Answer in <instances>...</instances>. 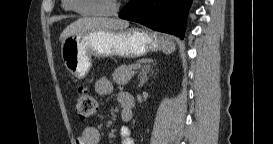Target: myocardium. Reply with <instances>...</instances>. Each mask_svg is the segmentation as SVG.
Masks as SVG:
<instances>
[{
	"mask_svg": "<svg viewBox=\"0 0 273 144\" xmlns=\"http://www.w3.org/2000/svg\"><path fill=\"white\" fill-rule=\"evenodd\" d=\"M70 8L81 14V15H88V16H104V15H111L118 11L120 2L115 0L113 5L110 8L104 10H84L78 7L77 0H69Z\"/></svg>",
	"mask_w": 273,
	"mask_h": 144,
	"instance_id": "f54148a6",
	"label": "myocardium"
}]
</instances>
